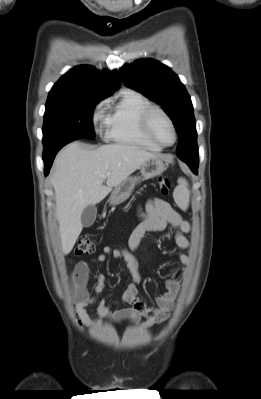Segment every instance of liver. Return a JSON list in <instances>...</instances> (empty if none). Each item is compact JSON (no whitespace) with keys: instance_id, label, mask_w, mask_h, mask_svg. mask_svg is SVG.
Returning a JSON list of instances; mask_svg holds the SVG:
<instances>
[{"instance_id":"liver-1","label":"liver","mask_w":261,"mask_h":399,"mask_svg":"<svg viewBox=\"0 0 261 399\" xmlns=\"http://www.w3.org/2000/svg\"><path fill=\"white\" fill-rule=\"evenodd\" d=\"M156 157L135 145L110 144L91 150L83 148L79 142L70 143L56 156L51 184L65 255L71 252L82 231L83 210L101 202L113 187L145 161ZM107 173L109 175L103 178ZM104 179L106 185H103Z\"/></svg>"}]
</instances>
